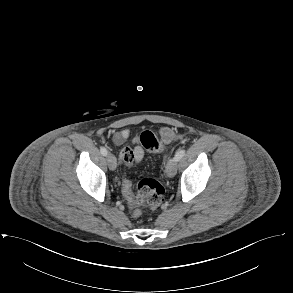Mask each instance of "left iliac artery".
Here are the masks:
<instances>
[{"label":"left iliac artery","mask_w":293,"mask_h":293,"mask_svg":"<svg viewBox=\"0 0 293 293\" xmlns=\"http://www.w3.org/2000/svg\"><path fill=\"white\" fill-rule=\"evenodd\" d=\"M185 155V149L184 147L178 149V151L175 154V158L177 161H179L183 156Z\"/></svg>","instance_id":"44dca946"}]
</instances>
